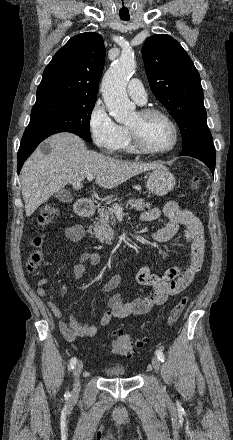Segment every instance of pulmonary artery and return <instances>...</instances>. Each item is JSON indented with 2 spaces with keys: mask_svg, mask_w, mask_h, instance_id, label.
Here are the masks:
<instances>
[{
  "mask_svg": "<svg viewBox=\"0 0 233 440\" xmlns=\"http://www.w3.org/2000/svg\"><path fill=\"white\" fill-rule=\"evenodd\" d=\"M129 96L139 105H143L147 101V94L143 83L139 79H132L127 85Z\"/></svg>",
  "mask_w": 233,
  "mask_h": 440,
  "instance_id": "pulmonary-artery-1",
  "label": "pulmonary artery"
}]
</instances>
